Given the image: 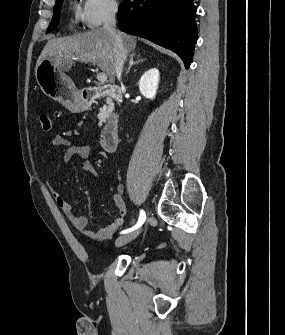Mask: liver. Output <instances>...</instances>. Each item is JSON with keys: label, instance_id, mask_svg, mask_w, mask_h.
<instances>
[{"label": "liver", "instance_id": "liver-1", "mask_svg": "<svg viewBox=\"0 0 285 335\" xmlns=\"http://www.w3.org/2000/svg\"><path fill=\"white\" fill-rule=\"evenodd\" d=\"M122 38L126 54H130L136 48V40L134 36L127 34H122ZM113 48L114 40L110 32L104 28H95L84 34L48 40L37 64L45 58H50L60 68H70L75 62L93 64L108 76L110 84H114L116 72L113 66L115 56Z\"/></svg>", "mask_w": 285, "mask_h": 335}]
</instances>
